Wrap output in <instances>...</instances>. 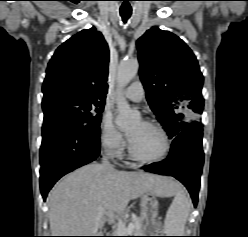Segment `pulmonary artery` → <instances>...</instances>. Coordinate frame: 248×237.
Here are the masks:
<instances>
[{"label": "pulmonary artery", "instance_id": "1", "mask_svg": "<svg viewBox=\"0 0 248 237\" xmlns=\"http://www.w3.org/2000/svg\"><path fill=\"white\" fill-rule=\"evenodd\" d=\"M124 95L132 101H142L144 98V87L142 82L139 80L134 81L124 90Z\"/></svg>", "mask_w": 248, "mask_h": 237}]
</instances>
